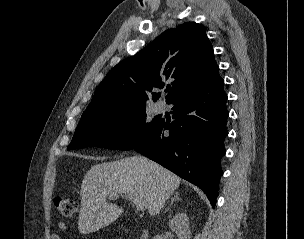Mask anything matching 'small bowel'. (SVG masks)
<instances>
[{
	"label": "small bowel",
	"mask_w": 304,
	"mask_h": 239,
	"mask_svg": "<svg viewBox=\"0 0 304 239\" xmlns=\"http://www.w3.org/2000/svg\"><path fill=\"white\" fill-rule=\"evenodd\" d=\"M65 231H66V224L63 222L58 223L56 231L51 235V239H61V234Z\"/></svg>",
	"instance_id": "c3829d8e"
}]
</instances>
